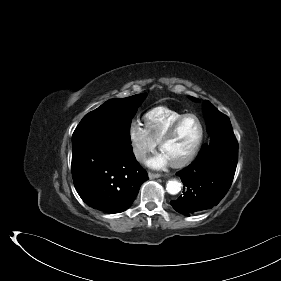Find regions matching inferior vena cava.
Listing matches in <instances>:
<instances>
[{
    "label": "inferior vena cava",
    "mask_w": 281,
    "mask_h": 281,
    "mask_svg": "<svg viewBox=\"0 0 281 281\" xmlns=\"http://www.w3.org/2000/svg\"><path fill=\"white\" fill-rule=\"evenodd\" d=\"M135 156L138 160L142 161L146 158V152L141 149H135L134 150Z\"/></svg>",
    "instance_id": "1"
}]
</instances>
